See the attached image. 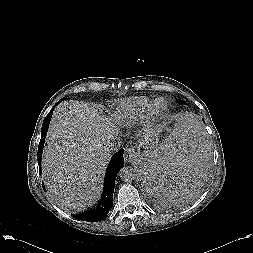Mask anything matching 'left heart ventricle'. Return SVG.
<instances>
[{
    "instance_id": "b2bd125f",
    "label": "left heart ventricle",
    "mask_w": 253,
    "mask_h": 253,
    "mask_svg": "<svg viewBox=\"0 0 253 253\" xmlns=\"http://www.w3.org/2000/svg\"><path fill=\"white\" fill-rule=\"evenodd\" d=\"M163 108H164L163 102L157 103V105H156V110H157L158 112L162 111Z\"/></svg>"
}]
</instances>
